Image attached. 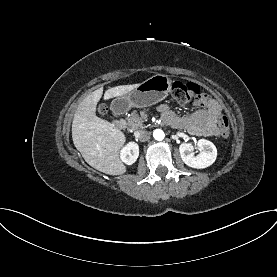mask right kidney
I'll return each instance as SVG.
<instances>
[{"instance_id":"ca27d5eb","label":"right kidney","mask_w":277,"mask_h":277,"mask_svg":"<svg viewBox=\"0 0 277 277\" xmlns=\"http://www.w3.org/2000/svg\"><path fill=\"white\" fill-rule=\"evenodd\" d=\"M139 156V147L135 142H129L120 152L121 160L127 165L133 164Z\"/></svg>"}]
</instances>
